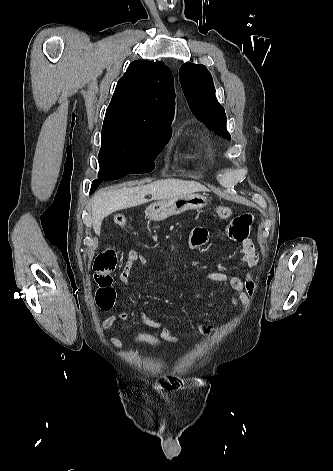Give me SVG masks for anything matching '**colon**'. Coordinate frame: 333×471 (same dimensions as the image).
I'll use <instances>...</instances> for the list:
<instances>
[{
    "label": "colon",
    "mask_w": 333,
    "mask_h": 471,
    "mask_svg": "<svg viewBox=\"0 0 333 471\" xmlns=\"http://www.w3.org/2000/svg\"><path fill=\"white\" fill-rule=\"evenodd\" d=\"M216 214L219 218L227 219L232 215V209L227 206H219L216 208ZM114 223L119 227H125L128 221L124 215L119 214L115 216ZM116 264L117 252L113 247L104 249L94 261V279L97 284L96 303L103 310L110 309L114 303L113 272ZM133 341L149 346H158L165 342L160 335L145 331L136 333Z\"/></svg>",
    "instance_id": "colon-1"
}]
</instances>
